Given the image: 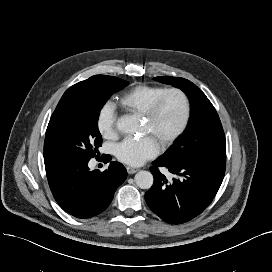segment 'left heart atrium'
Masks as SVG:
<instances>
[{"mask_svg":"<svg viewBox=\"0 0 272 272\" xmlns=\"http://www.w3.org/2000/svg\"><path fill=\"white\" fill-rule=\"evenodd\" d=\"M157 145L150 139L126 138L115 146L116 158L130 166H140L158 154Z\"/></svg>","mask_w":272,"mask_h":272,"instance_id":"39dd6f15","label":"left heart atrium"}]
</instances>
